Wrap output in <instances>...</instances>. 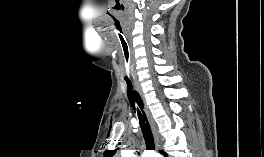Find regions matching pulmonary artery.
Wrapping results in <instances>:
<instances>
[{
  "instance_id": "e3ab8cb5",
  "label": "pulmonary artery",
  "mask_w": 264,
  "mask_h": 157,
  "mask_svg": "<svg viewBox=\"0 0 264 157\" xmlns=\"http://www.w3.org/2000/svg\"><path fill=\"white\" fill-rule=\"evenodd\" d=\"M152 153H150V152H145L144 153V155H143V157H147V156H149V155H151Z\"/></svg>"
}]
</instances>
